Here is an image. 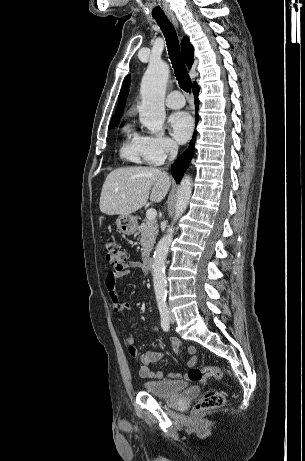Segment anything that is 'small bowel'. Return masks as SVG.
Segmentation results:
<instances>
[{
    "label": "small bowel",
    "instance_id": "1",
    "mask_svg": "<svg viewBox=\"0 0 305 461\" xmlns=\"http://www.w3.org/2000/svg\"><path fill=\"white\" fill-rule=\"evenodd\" d=\"M142 269L140 263L135 261L127 262L122 269H115L107 273L105 278V288L108 292L109 299L112 304L113 312L120 319L124 316L125 311L130 309V304L123 300L119 291L117 289V282L120 278L129 276L134 270ZM125 345L128 349L129 354L132 357H137L139 355V350L135 345V336L133 333L128 332L124 338ZM171 348L173 351L177 352L180 348V340L172 337L170 339ZM187 353L192 355L187 361L186 364L189 367H193L197 364L198 358L195 355L196 348L194 346H189L187 348ZM164 354L160 351H147L140 356L141 365L139 368V376L142 378L150 379H159L162 378L163 373L161 371H153L150 368V365L158 362L163 358ZM172 378H186V374L182 375L180 373H170L169 375Z\"/></svg>",
    "mask_w": 305,
    "mask_h": 461
}]
</instances>
